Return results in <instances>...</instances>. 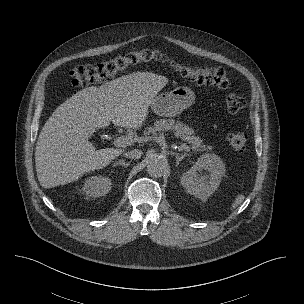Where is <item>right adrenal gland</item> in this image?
<instances>
[{
	"mask_svg": "<svg viewBox=\"0 0 304 304\" xmlns=\"http://www.w3.org/2000/svg\"><path fill=\"white\" fill-rule=\"evenodd\" d=\"M116 165H121V166H124V167H128V166L130 165V162H125V160L120 159L119 161H117V162L115 163V166H116Z\"/></svg>",
	"mask_w": 304,
	"mask_h": 304,
	"instance_id": "obj_1",
	"label": "right adrenal gland"
}]
</instances>
